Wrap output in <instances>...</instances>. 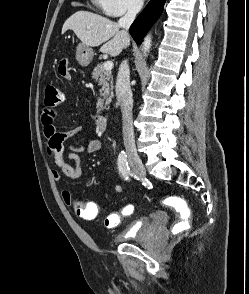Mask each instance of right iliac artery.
I'll return each instance as SVG.
<instances>
[{
    "label": "right iliac artery",
    "instance_id": "obj_1",
    "mask_svg": "<svg viewBox=\"0 0 249 294\" xmlns=\"http://www.w3.org/2000/svg\"><path fill=\"white\" fill-rule=\"evenodd\" d=\"M118 169L121 174V176L125 180H129V175H131V171L128 165L127 161V155L124 151H121L119 156H118Z\"/></svg>",
    "mask_w": 249,
    "mask_h": 294
}]
</instances>
